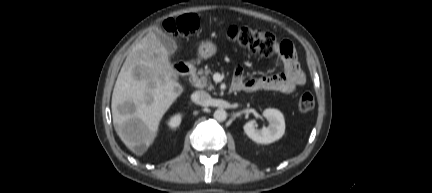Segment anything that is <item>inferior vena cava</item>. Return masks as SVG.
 <instances>
[{
	"label": "inferior vena cava",
	"instance_id": "obj_1",
	"mask_svg": "<svg viewBox=\"0 0 432 193\" xmlns=\"http://www.w3.org/2000/svg\"><path fill=\"white\" fill-rule=\"evenodd\" d=\"M192 100L199 105L208 106L211 101V96L205 91H196L192 95Z\"/></svg>",
	"mask_w": 432,
	"mask_h": 193
}]
</instances>
